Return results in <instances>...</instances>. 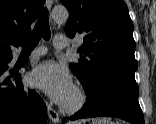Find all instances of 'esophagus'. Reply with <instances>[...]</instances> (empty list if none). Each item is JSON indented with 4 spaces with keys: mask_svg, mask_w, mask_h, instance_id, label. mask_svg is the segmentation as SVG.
I'll return each instance as SVG.
<instances>
[{
    "mask_svg": "<svg viewBox=\"0 0 156 124\" xmlns=\"http://www.w3.org/2000/svg\"><path fill=\"white\" fill-rule=\"evenodd\" d=\"M52 3H53L52 0L46 1V5H47L48 9H51ZM47 111H48V116H49L50 120L53 123H58L59 122V115L49 104H47Z\"/></svg>",
    "mask_w": 156,
    "mask_h": 124,
    "instance_id": "1",
    "label": "esophagus"
}]
</instances>
